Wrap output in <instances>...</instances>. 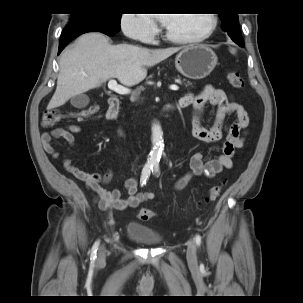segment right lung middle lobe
Wrapping results in <instances>:
<instances>
[{
	"label": "right lung middle lobe",
	"instance_id": "right-lung-middle-lobe-1",
	"mask_svg": "<svg viewBox=\"0 0 303 303\" xmlns=\"http://www.w3.org/2000/svg\"><path fill=\"white\" fill-rule=\"evenodd\" d=\"M122 14L120 13H100V12H84L71 14V19L67 26L82 21H107L113 24H120Z\"/></svg>",
	"mask_w": 303,
	"mask_h": 303
}]
</instances>
